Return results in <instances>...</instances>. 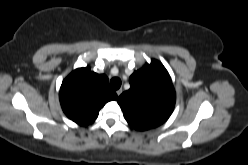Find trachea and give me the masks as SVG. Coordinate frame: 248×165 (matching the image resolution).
I'll list each match as a JSON object with an SVG mask.
<instances>
[{"label":"trachea","mask_w":248,"mask_h":165,"mask_svg":"<svg viewBox=\"0 0 248 165\" xmlns=\"http://www.w3.org/2000/svg\"><path fill=\"white\" fill-rule=\"evenodd\" d=\"M112 89L117 90L121 86V80L119 78H112L110 81Z\"/></svg>","instance_id":"trachea-1"}]
</instances>
